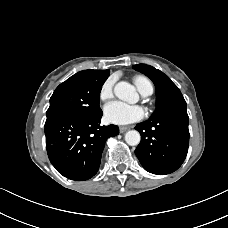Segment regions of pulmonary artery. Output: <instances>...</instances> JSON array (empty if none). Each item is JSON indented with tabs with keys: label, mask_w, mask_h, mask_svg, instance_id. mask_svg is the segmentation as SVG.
<instances>
[{
	"label": "pulmonary artery",
	"mask_w": 228,
	"mask_h": 228,
	"mask_svg": "<svg viewBox=\"0 0 228 228\" xmlns=\"http://www.w3.org/2000/svg\"><path fill=\"white\" fill-rule=\"evenodd\" d=\"M152 92H153V90H149L148 92L144 93L143 95H144V96H149V95L152 94Z\"/></svg>",
	"instance_id": "1"
}]
</instances>
